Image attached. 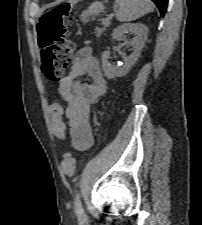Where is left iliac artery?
Segmentation results:
<instances>
[{
	"mask_svg": "<svg viewBox=\"0 0 202 225\" xmlns=\"http://www.w3.org/2000/svg\"><path fill=\"white\" fill-rule=\"evenodd\" d=\"M74 204H75L76 214L79 215V216L83 215L84 210H83V207H82V203H81L79 193L76 194Z\"/></svg>",
	"mask_w": 202,
	"mask_h": 225,
	"instance_id": "obj_1",
	"label": "left iliac artery"
}]
</instances>
